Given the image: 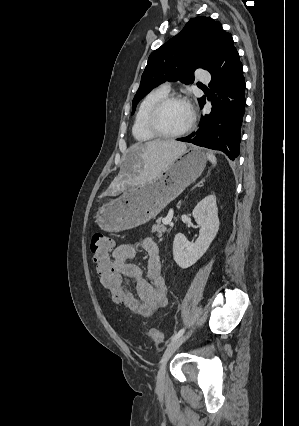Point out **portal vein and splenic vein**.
<instances>
[{
  "instance_id": "18ae733b",
  "label": "portal vein and splenic vein",
  "mask_w": 299,
  "mask_h": 426,
  "mask_svg": "<svg viewBox=\"0 0 299 426\" xmlns=\"http://www.w3.org/2000/svg\"><path fill=\"white\" fill-rule=\"evenodd\" d=\"M172 211H170L168 213V215L162 220L163 224H170L171 220H172Z\"/></svg>"
}]
</instances>
